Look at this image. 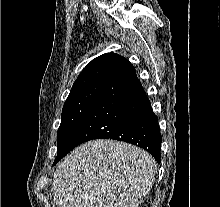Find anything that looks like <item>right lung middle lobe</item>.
Returning <instances> with one entry per match:
<instances>
[{"label":"right lung middle lobe","instance_id":"dd1d6c3e","mask_svg":"<svg viewBox=\"0 0 220 207\" xmlns=\"http://www.w3.org/2000/svg\"><path fill=\"white\" fill-rule=\"evenodd\" d=\"M103 82L97 81L71 90L62 109L61 124L57 131V157L53 165L63 157L72 135L87 114Z\"/></svg>","mask_w":220,"mask_h":207}]
</instances>
